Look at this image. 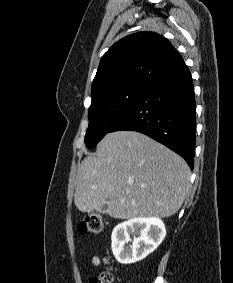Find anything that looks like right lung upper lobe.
I'll list each match as a JSON object with an SVG mask.
<instances>
[{"mask_svg":"<svg viewBox=\"0 0 233 283\" xmlns=\"http://www.w3.org/2000/svg\"><path fill=\"white\" fill-rule=\"evenodd\" d=\"M183 62L163 36L139 32L116 42L101 58L91 87L92 99L100 92L129 82H151Z\"/></svg>","mask_w":233,"mask_h":283,"instance_id":"obj_1","label":"right lung upper lobe"}]
</instances>
